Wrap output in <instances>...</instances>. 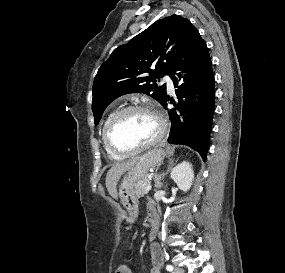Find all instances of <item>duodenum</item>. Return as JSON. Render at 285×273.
I'll list each match as a JSON object with an SVG mask.
<instances>
[{
	"instance_id": "duodenum-1",
	"label": "duodenum",
	"mask_w": 285,
	"mask_h": 273,
	"mask_svg": "<svg viewBox=\"0 0 285 273\" xmlns=\"http://www.w3.org/2000/svg\"><path fill=\"white\" fill-rule=\"evenodd\" d=\"M148 216L150 222V236L154 237L157 234L160 225L157 210L156 209L151 210Z\"/></svg>"
}]
</instances>
